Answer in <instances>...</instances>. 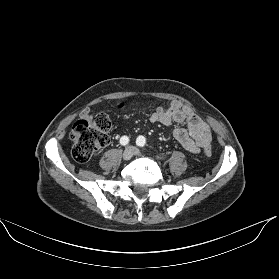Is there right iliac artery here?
<instances>
[{"instance_id": "1", "label": "right iliac artery", "mask_w": 279, "mask_h": 279, "mask_svg": "<svg viewBox=\"0 0 279 279\" xmlns=\"http://www.w3.org/2000/svg\"><path fill=\"white\" fill-rule=\"evenodd\" d=\"M129 143V138L127 136H122L120 139V144L125 146Z\"/></svg>"}]
</instances>
